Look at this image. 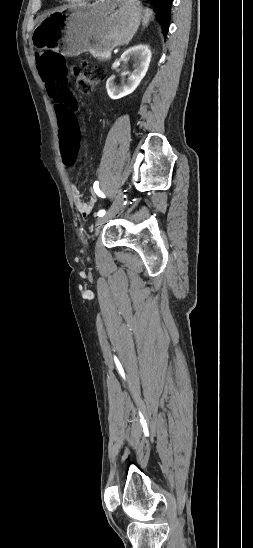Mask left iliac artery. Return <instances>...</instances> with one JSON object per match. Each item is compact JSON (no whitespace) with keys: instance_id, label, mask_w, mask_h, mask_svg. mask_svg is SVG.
I'll use <instances>...</instances> for the list:
<instances>
[{"instance_id":"1","label":"left iliac artery","mask_w":253,"mask_h":548,"mask_svg":"<svg viewBox=\"0 0 253 548\" xmlns=\"http://www.w3.org/2000/svg\"><path fill=\"white\" fill-rule=\"evenodd\" d=\"M98 184H99L98 181H96V182L94 183V188H96L95 191H96V193H97L100 197L105 198V195L100 191V189H99V187H98ZM105 213H106V211L103 209V210H100V211L97 213V215H98L99 217H101V216H104Z\"/></svg>"}]
</instances>
